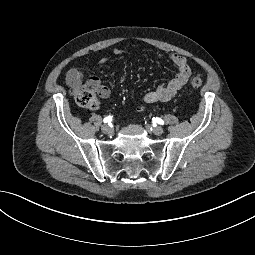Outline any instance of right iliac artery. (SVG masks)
I'll use <instances>...</instances> for the list:
<instances>
[{
	"label": "right iliac artery",
	"instance_id": "right-iliac-artery-1",
	"mask_svg": "<svg viewBox=\"0 0 255 255\" xmlns=\"http://www.w3.org/2000/svg\"><path fill=\"white\" fill-rule=\"evenodd\" d=\"M111 121H112V116H107L103 120L104 123H110Z\"/></svg>",
	"mask_w": 255,
	"mask_h": 255
}]
</instances>
